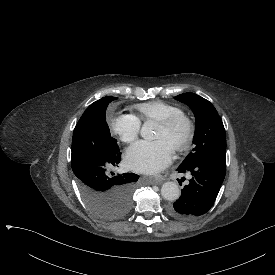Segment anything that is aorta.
<instances>
[{
	"mask_svg": "<svg viewBox=\"0 0 275 275\" xmlns=\"http://www.w3.org/2000/svg\"><path fill=\"white\" fill-rule=\"evenodd\" d=\"M157 125L153 120H148L144 122L141 128V136L145 140H154L156 139V130ZM181 191L178 185L175 182H165L161 188V195L164 199L168 201H175L180 197Z\"/></svg>",
	"mask_w": 275,
	"mask_h": 275,
	"instance_id": "obj_1",
	"label": "aorta"
}]
</instances>
